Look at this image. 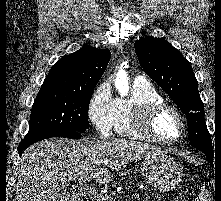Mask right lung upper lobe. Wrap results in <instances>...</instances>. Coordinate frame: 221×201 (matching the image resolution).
Instances as JSON below:
<instances>
[{
  "label": "right lung upper lobe",
  "instance_id": "obj_1",
  "mask_svg": "<svg viewBox=\"0 0 221 201\" xmlns=\"http://www.w3.org/2000/svg\"><path fill=\"white\" fill-rule=\"evenodd\" d=\"M109 59L108 49L84 45L53 65L40 90L76 93L92 91L102 77Z\"/></svg>",
  "mask_w": 221,
  "mask_h": 201
}]
</instances>
